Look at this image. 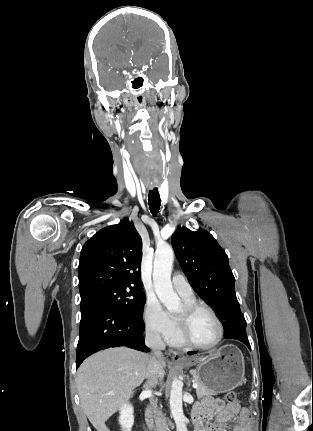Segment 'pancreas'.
Listing matches in <instances>:
<instances>
[{
    "instance_id": "pancreas-1",
    "label": "pancreas",
    "mask_w": 313,
    "mask_h": 431,
    "mask_svg": "<svg viewBox=\"0 0 313 431\" xmlns=\"http://www.w3.org/2000/svg\"><path fill=\"white\" fill-rule=\"evenodd\" d=\"M193 380L198 384V388H196V394L198 398H202L203 396L208 395H214L216 393L210 391L208 388H206L204 385H202L199 381V377L197 376L196 372H193Z\"/></svg>"
}]
</instances>
